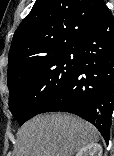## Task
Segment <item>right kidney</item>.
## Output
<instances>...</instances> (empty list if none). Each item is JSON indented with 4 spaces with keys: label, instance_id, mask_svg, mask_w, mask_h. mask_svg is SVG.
I'll use <instances>...</instances> for the list:
<instances>
[{
    "label": "right kidney",
    "instance_id": "right-kidney-1",
    "mask_svg": "<svg viewBox=\"0 0 114 156\" xmlns=\"http://www.w3.org/2000/svg\"><path fill=\"white\" fill-rule=\"evenodd\" d=\"M75 156H102V147L98 143H90L82 147Z\"/></svg>",
    "mask_w": 114,
    "mask_h": 156
}]
</instances>
